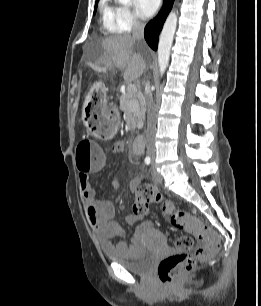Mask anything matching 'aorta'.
Here are the masks:
<instances>
[{
  "instance_id": "aorta-1",
  "label": "aorta",
  "mask_w": 261,
  "mask_h": 306,
  "mask_svg": "<svg viewBox=\"0 0 261 306\" xmlns=\"http://www.w3.org/2000/svg\"><path fill=\"white\" fill-rule=\"evenodd\" d=\"M120 4L129 5L132 0H116ZM177 11L172 10L168 15L158 43V64L160 75L163 76L170 59V50L173 43L174 34L177 27Z\"/></svg>"
}]
</instances>
